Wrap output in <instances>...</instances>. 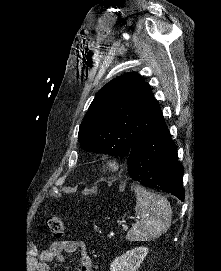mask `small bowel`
<instances>
[{"instance_id": "c3829d8e", "label": "small bowel", "mask_w": 221, "mask_h": 271, "mask_svg": "<svg viewBox=\"0 0 221 271\" xmlns=\"http://www.w3.org/2000/svg\"><path fill=\"white\" fill-rule=\"evenodd\" d=\"M79 254V271H92V260L87 245L82 240H62L53 242L50 247L40 254L37 271H49L48 263L53 260H64V253Z\"/></svg>"}]
</instances>
